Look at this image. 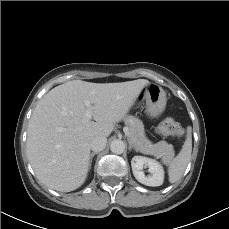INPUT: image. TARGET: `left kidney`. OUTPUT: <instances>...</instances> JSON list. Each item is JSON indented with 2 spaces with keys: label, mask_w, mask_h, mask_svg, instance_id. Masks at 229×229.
<instances>
[{
  "label": "left kidney",
  "mask_w": 229,
  "mask_h": 229,
  "mask_svg": "<svg viewBox=\"0 0 229 229\" xmlns=\"http://www.w3.org/2000/svg\"><path fill=\"white\" fill-rule=\"evenodd\" d=\"M132 171L138 182L147 186H160L164 181V169L154 159L134 156L131 160ZM149 168L150 175L146 176L143 168Z\"/></svg>",
  "instance_id": "5707ae66"
}]
</instances>
